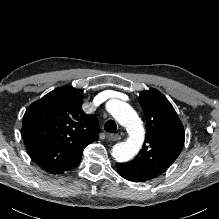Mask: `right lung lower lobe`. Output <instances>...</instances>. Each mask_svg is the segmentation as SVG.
Segmentation results:
<instances>
[{
    "mask_svg": "<svg viewBox=\"0 0 219 219\" xmlns=\"http://www.w3.org/2000/svg\"><path fill=\"white\" fill-rule=\"evenodd\" d=\"M66 171H67V170H66ZM63 172H65V171L59 172L58 174H61V173H63Z\"/></svg>",
    "mask_w": 219,
    "mask_h": 219,
    "instance_id": "obj_1",
    "label": "right lung lower lobe"
}]
</instances>
